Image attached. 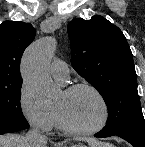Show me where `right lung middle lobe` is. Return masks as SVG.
<instances>
[{"label": "right lung middle lobe", "instance_id": "right-lung-middle-lobe-1", "mask_svg": "<svg viewBox=\"0 0 145 147\" xmlns=\"http://www.w3.org/2000/svg\"><path fill=\"white\" fill-rule=\"evenodd\" d=\"M21 86L0 87V133L16 132L29 127L20 106Z\"/></svg>", "mask_w": 145, "mask_h": 147}]
</instances>
